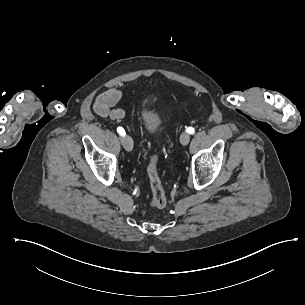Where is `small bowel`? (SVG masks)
Listing matches in <instances>:
<instances>
[{
  "label": "small bowel",
  "instance_id": "obj_1",
  "mask_svg": "<svg viewBox=\"0 0 305 305\" xmlns=\"http://www.w3.org/2000/svg\"><path fill=\"white\" fill-rule=\"evenodd\" d=\"M122 93L117 88H111L100 93L93 104L94 112L101 117L121 120L125 117L123 108H113L121 99Z\"/></svg>",
  "mask_w": 305,
  "mask_h": 305
}]
</instances>
